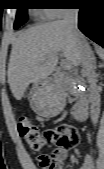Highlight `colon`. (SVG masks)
<instances>
[{
	"label": "colon",
	"mask_w": 104,
	"mask_h": 169,
	"mask_svg": "<svg viewBox=\"0 0 104 169\" xmlns=\"http://www.w3.org/2000/svg\"><path fill=\"white\" fill-rule=\"evenodd\" d=\"M18 132L27 146L39 153L37 163L42 169H52L54 165L53 156L43 152L46 147L57 142L69 148L76 146L79 142L77 130L66 124L41 131L32 121L22 119L18 124Z\"/></svg>",
	"instance_id": "obj_1"
}]
</instances>
